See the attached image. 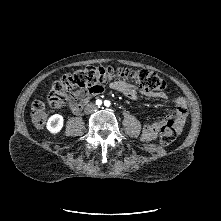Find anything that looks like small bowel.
I'll list each match as a JSON object with an SVG mask.
<instances>
[{
	"instance_id": "small-bowel-1",
	"label": "small bowel",
	"mask_w": 221,
	"mask_h": 221,
	"mask_svg": "<svg viewBox=\"0 0 221 221\" xmlns=\"http://www.w3.org/2000/svg\"><path fill=\"white\" fill-rule=\"evenodd\" d=\"M109 87L124 96H126L129 99H136L138 96H147L152 97L160 100H167V94L165 92H145L142 90H138L133 85L115 80L109 84ZM104 91V87L101 86L97 91H90L87 89L84 90H77L74 93H72L68 99L70 109L77 113L80 111V104L78 101L85 99L89 96H96L101 94ZM175 123L174 126L177 130V132H180L183 128L185 119L187 117V104L183 97H178L176 99V109H175ZM164 124L163 120H156L149 124H146L143 127L141 138L142 140L149 142L154 140L157 137V134Z\"/></svg>"
}]
</instances>
